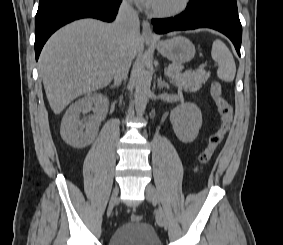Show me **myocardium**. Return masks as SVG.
I'll list each match as a JSON object with an SVG mask.
<instances>
[{
	"label": "myocardium",
	"mask_w": 283,
	"mask_h": 245,
	"mask_svg": "<svg viewBox=\"0 0 283 245\" xmlns=\"http://www.w3.org/2000/svg\"><path fill=\"white\" fill-rule=\"evenodd\" d=\"M192 0H178L170 7H155L150 8V12L158 17H174L183 13L191 4Z\"/></svg>",
	"instance_id": "obj_1"
}]
</instances>
